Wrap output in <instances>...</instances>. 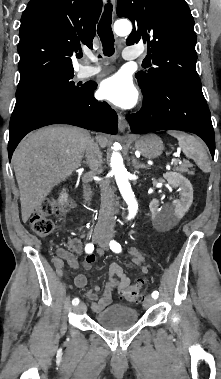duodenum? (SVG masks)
<instances>
[{
  "label": "duodenum",
  "instance_id": "duodenum-1",
  "mask_svg": "<svg viewBox=\"0 0 221 379\" xmlns=\"http://www.w3.org/2000/svg\"><path fill=\"white\" fill-rule=\"evenodd\" d=\"M86 195H87V200H89V198H90V191L89 190L86 191Z\"/></svg>",
  "mask_w": 221,
  "mask_h": 379
}]
</instances>
